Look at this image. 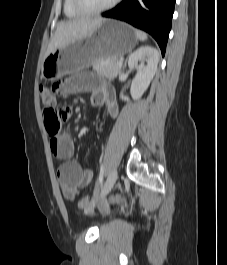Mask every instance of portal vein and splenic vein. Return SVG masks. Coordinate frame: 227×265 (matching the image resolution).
<instances>
[{"mask_svg": "<svg viewBox=\"0 0 227 265\" xmlns=\"http://www.w3.org/2000/svg\"><path fill=\"white\" fill-rule=\"evenodd\" d=\"M117 65L120 67V66H122V62L121 61H118L117 62Z\"/></svg>", "mask_w": 227, "mask_h": 265, "instance_id": "1", "label": "portal vein and splenic vein"}]
</instances>
